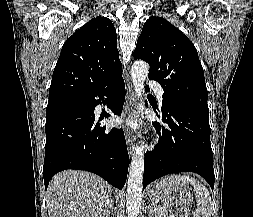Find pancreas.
I'll list each match as a JSON object with an SVG mask.
<instances>
[{"mask_svg":"<svg viewBox=\"0 0 253 217\" xmlns=\"http://www.w3.org/2000/svg\"><path fill=\"white\" fill-rule=\"evenodd\" d=\"M163 208H165V210L156 212L155 217H176V216H175L174 214H172L171 211L168 210L166 207H163Z\"/></svg>","mask_w":253,"mask_h":217,"instance_id":"1","label":"pancreas"}]
</instances>
